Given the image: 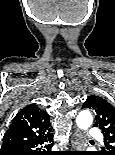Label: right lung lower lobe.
I'll use <instances>...</instances> for the list:
<instances>
[{"instance_id": "98d812e1", "label": "right lung lower lobe", "mask_w": 115, "mask_h": 155, "mask_svg": "<svg viewBox=\"0 0 115 155\" xmlns=\"http://www.w3.org/2000/svg\"><path fill=\"white\" fill-rule=\"evenodd\" d=\"M52 134L47 138L31 141L17 147L7 149L0 152V155H50L45 149L42 150V145L51 142ZM45 148L48 150L49 145L46 144Z\"/></svg>"}]
</instances>
